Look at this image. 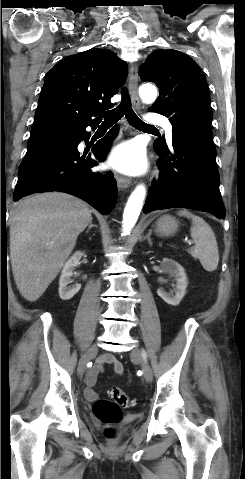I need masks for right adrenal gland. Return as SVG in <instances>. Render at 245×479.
Listing matches in <instances>:
<instances>
[{
    "label": "right adrenal gland",
    "instance_id": "obj_1",
    "mask_svg": "<svg viewBox=\"0 0 245 479\" xmlns=\"http://www.w3.org/2000/svg\"><path fill=\"white\" fill-rule=\"evenodd\" d=\"M92 227H96V228H97V226L94 225V224L92 223V221H91L90 224H89V226H88V229L86 230V233H88Z\"/></svg>",
    "mask_w": 245,
    "mask_h": 479
}]
</instances>
